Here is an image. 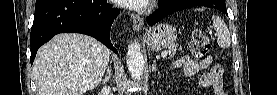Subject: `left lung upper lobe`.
I'll return each instance as SVG.
<instances>
[{
	"label": "left lung upper lobe",
	"mask_w": 277,
	"mask_h": 95,
	"mask_svg": "<svg viewBox=\"0 0 277 95\" xmlns=\"http://www.w3.org/2000/svg\"><path fill=\"white\" fill-rule=\"evenodd\" d=\"M201 6L219 9L224 6V0H209V1L202 0Z\"/></svg>",
	"instance_id": "obj_1"
}]
</instances>
